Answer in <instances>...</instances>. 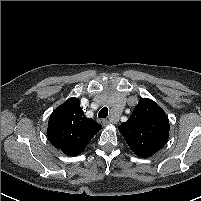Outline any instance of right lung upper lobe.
I'll return each instance as SVG.
<instances>
[{
  "instance_id": "1",
  "label": "right lung upper lobe",
  "mask_w": 201,
  "mask_h": 201,
  "mask_svg": "<svg viewBox=\"0 0 201 201\" xmlns=\"http://www.w3.org/2000/svg\"><path fill=\"white\" fill-rule=\"evenodd\" d=\"M101 128L93 119L85 117L79 99L70 98L51 114L47 136L51 144L64 154L76 156Z\"/></svg>"
}]
</instances>
